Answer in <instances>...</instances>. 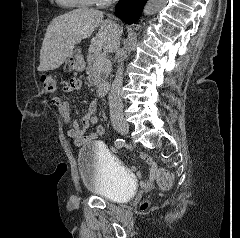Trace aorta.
<instances>
[{
    "mask_svg": "<svg viewBox=\"0 0 240 238\" xmlns=\"http://www.w3.org/2000/svg\"><path fill=\"white\" fill-rule=\"evenodd\" d=\"M167 0H148L143 13L145 15H153L161 10L166 5Z\"/></svg>",
    "mask_w": 240,
    "mask_h": 238,
    "instance_id": "obj_1",
    "label": "aorta"
}]
</instances>
